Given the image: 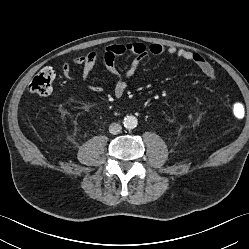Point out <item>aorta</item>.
Wrapping results in <instances>:
<instances>
[{"label":"aorta","instance_id":"obj_1","mask_svg":"<svg viewBox=\"0 0 249 249\" xmlns=\"http://www.w3.org/2000/svg\"><path fill=\"white\" fill-rule=\"evenodd\" d=\"M124 127L127 129H133L137 126L138 120L135 116H127L124 118Z\"/></svg>","mask_w":249,"mask_h":249}]
</instances>
